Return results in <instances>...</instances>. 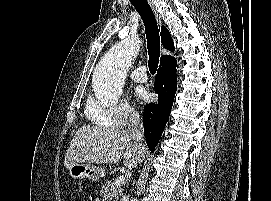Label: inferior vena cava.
I'll return each mask as SVG.
<instances>
[{"instance_id":"obj_1","label":"inferior vena cava","mask_w":271,"mask_h":201,"mask_svg":"<svg viewBox=\"0 0 271 201\" xmlns=\"http://www.w3.org/2000/svg\"><path fill=\"white\" fill-rule=\"evenodd\" d=\"M128 132L129 135L135 140L142 148L144 145L142 143L144 136V128L141 123L140 116L137 112H132L128 121Z\"/></svg>"}]
</instances>
